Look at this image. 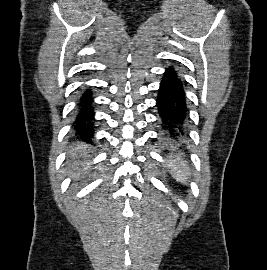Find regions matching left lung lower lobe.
I'll return each instance as SVG.
<instances>
[{"label": "left lung lower lobe", "instance_id": "1", "mask_svg": "<svg viewBox=\"0 0 267 270\" xmlns=\"http://www.w3.org/2000/svg\"><path fill=\"white\" fill-rule=\"evenodd\" d=\"M163 142L180 144L187 136L188 108L183 81L173 67L166 69L157 97Z\"/></svg>", "mask_w": 267, "mask_h": 270}]
</instances>
